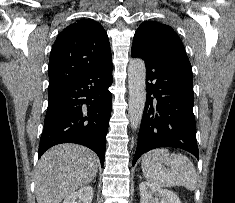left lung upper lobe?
<instances>
[{
    "label": "left lung upper lobe",
    "instance_id": "left-lung-upper-lobe-1",
    "mask_svg": "<svg viewBox=\"0 0 235 203\" xmlns=\"http://www.w3.org/2000/svg\"><path fill=\"white\" fill-rule=\"evenodd\" d=\"M132 48L152 55L192 72L183 43L172 27L148 21L137 29Z\"/></svg>",
    "mask_w": 235,
    "mask_h": 203
}]
</instances>
